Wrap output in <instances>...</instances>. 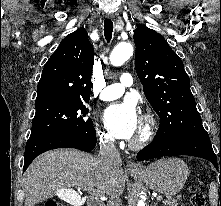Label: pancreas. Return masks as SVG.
I'll list each match as a JSON object with an SVG mask.
<instances>
[{"instance_id":"pancreas-1","label":"pancreas","mask_w":221,"mask_h":206,"mask_svg":"<svg viewBox=\"0 0 221 206\" xmlns=\"http://www.w3.org/2000/svg\"><path fill=\"white\" fill-rule=\"evenodd\" d=\"M180 200V199H179ZM179 200L171 196L167 197V200L163 201L167 206H179Z\"/></svg>"}]
</instances>
